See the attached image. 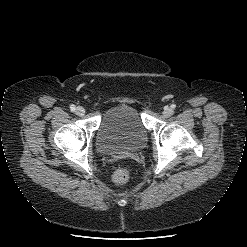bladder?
I'll return each mask as SVG.
<instances>
[{"label": "bladder", "mask_w": 247, "mask_h": 247, "mask_svg": "<svg viewBox=\"0 0 247 247\" xmlns=\"http://www.w3.org/2000/svg\"><path fill=\"white\" fill-rule=\"evenodd\" d=\"M146 141L147 129L141 114L129 104L116 105L103 115L95 139L102 153L139 150Z\"/></svg>", "instance_id": "31cf9c89"}]
</instances>
